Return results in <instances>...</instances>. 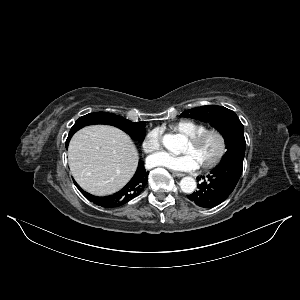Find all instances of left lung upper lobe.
Segmentation results:
<instances>
[{
  "instance_id": "left-lung-upper-lobe-1",
  "label": "left lung upper lobe",
  "mask_w": 300,
  "mask_h": 300,
  "mask_svg": "<svg viewBox=\"0 0 300 300\" xmlns=\"http://www.w3.org/2000/svg\"><path fill=\"white\" fill-rule=\"evenodd\" d=\"M180 116L210 122L222 133L227 148L222 160L230 157L244 159L246 145L244 126L232 110L222 106L209 105L187 110Z\"/></svg>"
}]
</instances>
